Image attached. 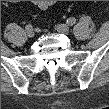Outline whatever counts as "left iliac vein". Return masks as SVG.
Segmentation results:
<instances>
[{
	"mask_svg": "<svg viewBox=\"0 0 109 109\" xmlns=\"http://www.w3.org/2000/svg\"><path fill=\"white\" fill-rule=\"evenodd\" d=\"M56 30L59 33H68L69 32V27L66 24H59L56 26Z\"/></svg>",
	"mask_w": 109,
	"mask_h": 109,
	"instance_id": "1",
	"label": "left iliac vein"
}]
</instances>
